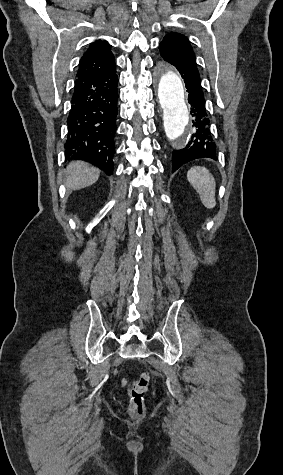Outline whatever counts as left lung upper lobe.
I'll return each instance as SVG.
<instances>
[{"instance_id": "obj_1", "label": "left lung upper lobe", "mask_w": 283, "mask_h": 475, "mask_svg": "<svg viewBox=\"0 0 283 475\" xmlns=\"http://www.w3.org/2000/svg\"><path fill=\"white\" fill-rule=\"evenodd\" d=\"M161 56L171 64L192 63L196 65V57L189 40L180 33H169L160 43Z\"/></svg>"}]
</instances>
